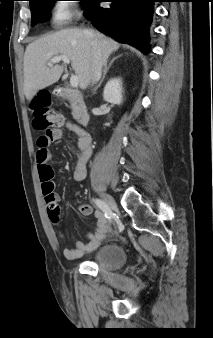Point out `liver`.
<instances>
[{"instance_id":"obj_1","label":"liver","mask_w":213,"mask_h":338,"mask_svg":"<svg viewBox=\"0 0 213 338\" xmlns=\"http://www.w3.org/2000/svg\"><path fill=\"white\" fill-rule=\"evenodd\" d=\"M95 40L102 56L107 58L119 48V43L99 32L81 29H65L47 34L30 43L24 54V94L31 100L36 93L56 83L64 67L47 66L55 56H66L71 61L81 89L87 88L91 81L93 65V46Z\"/></svg>"}]
</instances>
